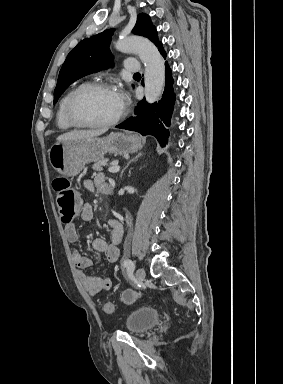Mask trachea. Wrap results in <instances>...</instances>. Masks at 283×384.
<instances>
[{
    "label": "trachea",
    "instance_id": "1",
    "mask_svg": "<svg viewBox=\"0 0 283 384\" xmlns=\"http://www.w3.org/2000/svg\"><path fill=\"white\" fill-rule=\"evenodd\" d=\"M134 76H140V73H138V72L134 73Z\"/></svg>",
    "mask_w": 283,
    "mask_h": 384
}]
</instances>
